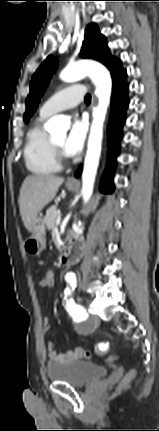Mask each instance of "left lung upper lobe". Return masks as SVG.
Wrapping results in <instances>:
<instances>
[{"instance_id":"obj_1","label":"left lung upper lobe","mask_w":159,"mask_h":431,"mask_svg":"<svg viewBox=\"0 0 159 431\" xmlns=\"http://www.w3.org/2000/svg\"><path fill=\"white\" fill-rule=\"evenodd\" d=\"M80 57L101 61L110 69L111 74L122 67L121 61L111 56L109 48L107 47V40L100 34L95 24H90L86 28L85 40L82 45ZM57 66V59L50 55L34 73L30 83V93L26 99L25 122H28L36 111L40 98L48 86L50 78Z\"/></svg>"}]
</instances>
